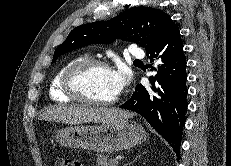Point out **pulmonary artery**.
I'll return each mask as SVG.
<instances>
[{"label":"pulmonary artery","instance_id":"1","mask_svg":"<svg viewBox=\"0 0 231 166\" xmlns=\"http://www.w3.org/2000/svg\"><path fill=\"white\" fill-rule=\"evenodd\" d=\"M128 53L131 57L133 58H143L144 57V52L139 49L136 45H131L128 48Z\"/></svg>","mask_w":231,"mask_h":166}]
</instances>
